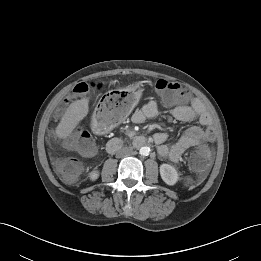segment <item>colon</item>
Here are the masks:
<instances>
[{
  "label": "colon",
  "mask_w": 261,
  "mask_h": 261,
  "mask_svg": "<svg viewBox=\"0 0 261 261\" xmlns=\"http://www.w3.org/2000/svg\"><path fill=\"white\" fill-rule=\"evenodd\" d=\"M87 83H78L73 92L81 95L90 89ZM159 93L161 99L167 104H185L189 100L188 90L178 83L164 79L157 80L152 85ZM131 108L130 98L121 91L112 92L105 96L101 107V122L105 127H110L121 121ZM68 150L79 152L85 156H92L96 152L95 141L86 128H79L64 140ZM209 153L205 149H198L191 153L189 167L192 171L203 174L209 166ZM55 169L61 178L69 184L75 183L82 172L80 161L74 157L64 156L55 160Z\"/></svg>",
  "instance_id": "1"
}]
</instances>
